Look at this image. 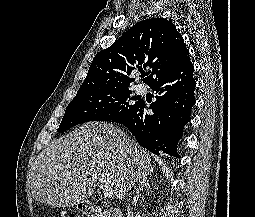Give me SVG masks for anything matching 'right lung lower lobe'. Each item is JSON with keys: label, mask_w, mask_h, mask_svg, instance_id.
<instances>
[{"label": "right lung lower lobe", "mask_w": 255, "mask_h": 217, "mask_svg": "<svg viewBox=\"0 0 255 217\" xmlns=\"http://www.w3.org/2000/svg\"><path fill=\"white\" fill-rule=\"evenodd\" d=\"M193 70L189 58L149 84L157 92V100L149 107L154 114L148 115L147 105L140 101L130 113L112 121L125 125L139 144L152 153L159 154L162 150L180 158L178 141L184 126L190 121L191 108L195 104Z\"/></svg>", "instance_id": "obj_1"}]
</instances>
